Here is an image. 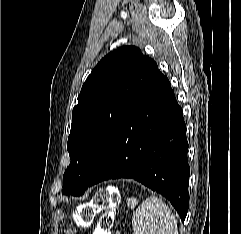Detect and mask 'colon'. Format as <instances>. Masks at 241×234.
Segmentation results:
<instances>
[{
  "instance_id": "1",
  "label": "colon",
  "mask_w": 241,
  "mask_h": 234,
  "mask_svg": "<svg viewBox=\"0 0 241 234\" xmlns=\"http://www.w3.org/2000/svg\"><path fill=\"white\" fill-rule=\"evenodd\" d=\"M118 203V193L107 188L96 192L93 199L81 205L76 213V222L84 227L92 224L97 214L102 213L94 234H111L114 216L113 212ZM65 234H74L72 230L65 231Z\"/></svg>"
}]
</instances>
